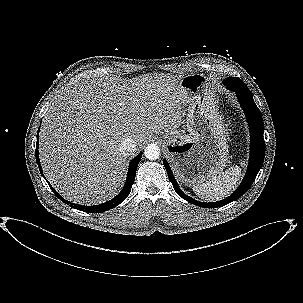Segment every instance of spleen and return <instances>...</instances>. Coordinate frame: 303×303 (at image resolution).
<instances>
[{
	"instance_id": "obj_1",
	"label": "spleen",
	"mask_w": 303,
	"mask_h": 303,
	"mask_svg": "<svg viewBox=\"0 0 303 303\" xmlns=\"http://www.w3.org/2000/svg\"><path fill=\"white\" fill-rule=\"evenodd\" d=\"M241 166H245L241 162ZM241 176V168L232 166L222 174L214 176L205 183L197 184L193 191L202 199L207 201H218L227 196L236 186Z\"/></svg>"
}]
</instances>
